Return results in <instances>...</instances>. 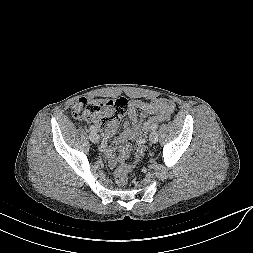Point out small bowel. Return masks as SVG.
Instances as JSON below:
<instances>
[{"label": "small bowel", "instance_id": "obj_1", "mask_svg": "<svg viewBox=\"0 0 253 253\" xmlns=\"http://www.w3.org/2000/svg\"><path fill=\"white\" fill-rule=\"evenodd\" d=\"M174 110V102L165 98H156L148 102L142 100L130 101L127 110L130 120L125 122L124 131L118 137V153H116V145L112 142V138L118 130L119 121L116 122L112 130L104 135L101 143V150L106 156L109 166L115 168L129 158L132 151L130 141L138 136L145 125L150 124L152 121L167 120Z\"/></svg>", "mask_w": 253, "mask_h": 253}]
</instances>
